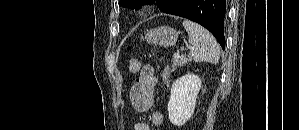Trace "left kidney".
<instances>
[{"label": "left kidney", "instance_id": "obj_1", "mask_svg": "<svg viewBox=\"0 0 299 130\" xmlns=\"http://www.w3.org/2000/svg\"><path fill=\"white\" fill-rule=\"evenodd\" d=\"M201 84V79L194 74L182 76L173 83L168 102L169 120L173 125L182 126L191 118Z\"/></svg>", "mask_w": 299, "mask_h": 130}]
</instances>
